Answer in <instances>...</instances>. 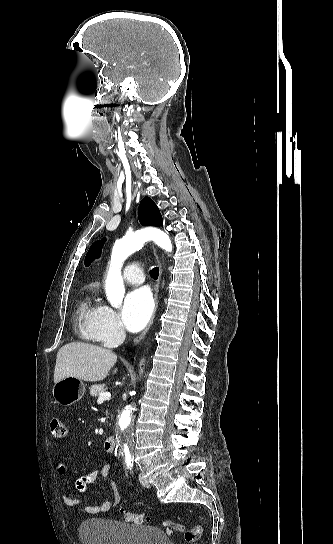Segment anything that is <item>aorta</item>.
<instances>
[{
  "instance_id": "aorta-1",
  "label": "aorta",
  "mask_w": 333,
  "mask_h": 544,
  "mask_svg": "<svg viewBox=\"0 0 333 544\" xmlns=\"http://www.w3.org/2000/svg\"><path fill=\"white\" fill-rule=\"evenodd\" d=\"M148 240H153L158 246L172 251V243L169 236L156 228H146L135 233L127 234L117 241L112 250L110 268L105 282L107 300L112 307L119 308L125 294L121 268L123 262L135 251L143 247ZM132 407L126 408L118 421V440L121 449L127 459H132L133 453V429L131 426Z\"/></svg>"
}]
</instances>
